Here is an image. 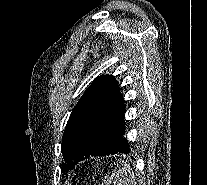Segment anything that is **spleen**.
<instances>
[{"label":"spleen","instance_id":"obj_1","mask_svg":"<svg viewBox=\"0 0 207 185\" xmlns=\"http://www.w3.org/2000/svg\"><path fill=\"white\" fill-rule=\"evenodd\" d=\"M129 167V158H118L116 170H109L104 185H128V183H136L135 170H129Z\"/></svg>","mask_w":207,"mask_h":185}]
</instances>
